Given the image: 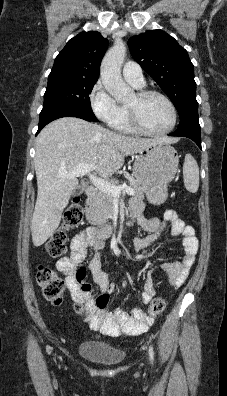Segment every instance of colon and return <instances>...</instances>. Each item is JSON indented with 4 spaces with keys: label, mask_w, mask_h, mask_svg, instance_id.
I'll list each match as a JSON object with an SVG mask.
<instances>
[{
    "label": "colon",
    "mask_w": 227,
    "mask_h": 396,
    "mask_svg": "<svg viewBox=\"0 0 227 396\" xmlns=\"http://www.w3.org/2000/svg\"><path fill=\"white\" fill-rule=\"evenodd\" d=\"M83 219V207L79 198H76L65 213L62 227L57 230L46 242L45 248L51 258H60L67 252V231L78 227ZM37 282L44 297L53 304H60L65 291V282L51 268L40 266L37 270ZM166 307L163 298L157 297L149 306V313L157 316ZM74 309L79 315H86L88 309L82 304H75Z\"/></svg>",
    "instance_id": "obj_1"
}]
</instances>
